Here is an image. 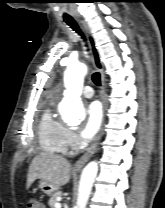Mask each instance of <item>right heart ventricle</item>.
Returning a JSON list of instances; mask_svg holds the SVG:
<instances>
[{
    "instance_id": "1",
    "label": "right heart ventricle",
    "mask_w": 165,
    "mask_h": 208,
    "mask_svg": "<svg viewBox=\"0 0 165 208\" xmlns=\"http://www.w3.org/2000/svg\"><path fill=\"white\" fill-rule=\"evenodd\" d=\"M68 129L57 119L52 110L47 108L42 113L38 125V138L41 148L50 154H63L69 149Z\"/></svg>"
}]
</instances>
